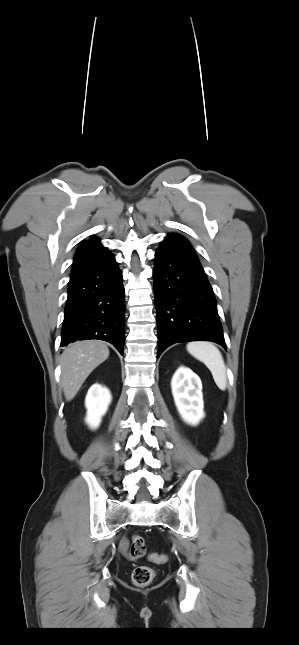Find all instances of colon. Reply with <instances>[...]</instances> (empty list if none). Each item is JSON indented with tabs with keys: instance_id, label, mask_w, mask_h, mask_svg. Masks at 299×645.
Here are the masks:
<instances>
[{
	"instance_id": "1",
	"label": "colon",
	"mask_w": 299,
	"mask_h": 645,
	"mask_svg": "<svg viewBox=\"0 0 299 645\" xmlns=\"http://www.w3.org/2000/svg\"><path fill=\"white\" fill-rule=\"evenodd\" d=\"M146 554L145 540L140 535L132 536L131 540V555L134 558H141ZM150 560L156 563H162L166 560L163 554L152 553L149 556ZM155 576V571L148 566H138L132 572V582L135 586L146 587L148 586Z\"/></svg>"
}]
</instances>
